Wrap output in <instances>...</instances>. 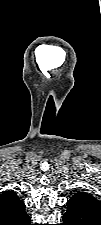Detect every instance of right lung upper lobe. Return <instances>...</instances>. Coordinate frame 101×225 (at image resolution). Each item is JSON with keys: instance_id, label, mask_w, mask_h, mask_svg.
<instances>
[{"instance_id": "cb5924a9", "label": "right lung upper lobe", "mask_w": 101, "mask_h": 225, "mask_svg": "<svg viewBox=\"0 0 101 225\" xmlns=\"http://www.w3.org/2000/svg\"><path fill=\"white\" fill-rule=\"evenodd\" d=\"M28 219L25 204L14 191L0 195V225H23Z\"/></svg>"}]
</instances>
